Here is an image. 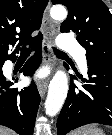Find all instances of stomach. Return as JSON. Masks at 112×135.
Returning <instances> with one entry per match:
<instances>
[{
    "instance_id": "stomach-1",
    "label": "stomach",
    "mask_w": 112,
    "mask_h": 135,
    "mask_svg": "<svg viewBox=\"0 0 112 135\" xmlns=\"http://www.w3.org/2000/svg\"><path fill=\"white\" fill-rule=\"evenodd\" d=\"M80 132L82 135H104L103 131L96 127H86Z\"/></svg>"
}]
</instances>
